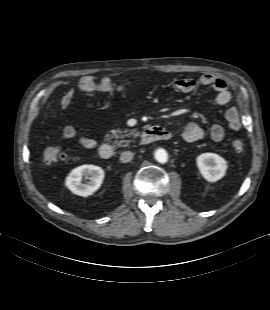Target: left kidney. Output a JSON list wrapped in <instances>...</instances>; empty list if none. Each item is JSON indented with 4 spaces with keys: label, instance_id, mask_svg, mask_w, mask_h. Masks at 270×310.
Wrapping results in <instances>:
<instances>
[{
    "label": "left kidney",
    "instance_id": "obj_1",
    "mask_svg": "<svg viewBox=\"0 0 270 310\" xmlns=\"http://www.w3.org/2000/svg\"><path fill=\"white\" fill-rule=\"evenodd\" d=\"M200 174L208 182H216L224 177L228 168L227 161L215 153H203L196 158Z\"/></svg>",
    "mask_w": 270,
    "mask_h": 310
}]
</instances>
